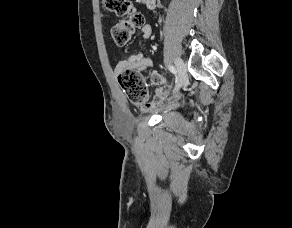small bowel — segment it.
Instances as JSON below:
<instances>
[{
  "mask_svg": "<svg viewBox=\"0 0 292 228\" xmlns=\"http://www.w3.org/2000/svg\"><path fill=\"white\" fill-rule=\"evenodd\" d=\"M142 36L145 39H149L152 36V28L149 24H144L141 27ZM153 65L151 58L144 56L142 53H137L130 55L128 58L120 61L114 68L116 75L127 69H134L137 71H144ZM150 80L158 85V89L152 101L145 102L140 106L142 111H154L159 107L166 106L175 99L178 98L180 93L170 96L171 83L169 80L162 77L157 71H152L150 73Z\"/></svg>",
  "mask_w": 292,
  "mask_h": 228,
  "instance_id": "small-bowel-1",
  "label": "small bowel"
}]
</instances>
